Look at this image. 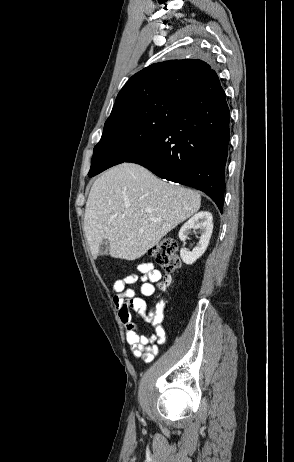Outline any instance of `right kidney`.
I'll return each instance as SVG.
<instances>
[{
    "label": "right kidney",
    "mask_w": 294,
    "mask_h": 462,
    "mask_svg": "<svg viewBox=\"0 0 294 462\" xmlns=\"http://www.w3.org/2000/svg\"><path fill=\"white\" fill-rule=\"evenodd\" d=\"M213 217L210 212L201 211L191 217L180 229L179 238L181 241H185L187 235L191 230H199L200 238L197 246L192 250L188 251L184 248L180 250V257L182 261L187 264H193L199 259L206 251L212 231H213Z\"/></svg>",
    "instance_id": "1"
}]
</instances>
